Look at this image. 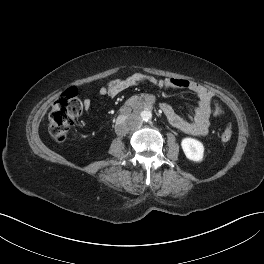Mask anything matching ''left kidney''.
Here are the masks:
<instances>
[{
    "label": "left kidney",
    "mask_w": 264,
    "mask_h": 264,
    "mask_svg": "<svg viewBox=\"0 0 264 264\" xmlns=\"http://www.w3.org/2000/svg\"><path fill=\"white\" fill-rule=\"evenodd\" d=\"M181 146L184 154L189 160L194 162L202 161L204 155V146L200 141L193 138H184L181 142Z\"/></svg>",
    "instance_id": "5707ae66"
}]
</instances>
